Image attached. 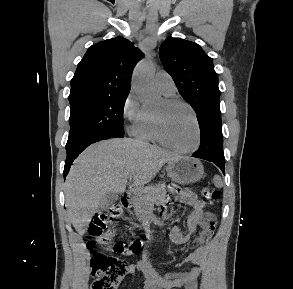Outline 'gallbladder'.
<instances>
[{
	"mask_svg": "<svg viewBox=\"0 0 293 289\" xmlns=\"http://www.w3.org/2000/svg\"><path fill=\"white\" fill-rule=\"evenodd\" d=\"M119 198L118 194L115 193H109L103 199L101 200V203L98 207L99 211L106 210L109 208L115 201H117Z\"/></svg>",
	"mask_w": 293,
	"mask_h": 289,
	"instance_id": "bac80fb5",
	"label": "gallbladder"
}]
</instances>
